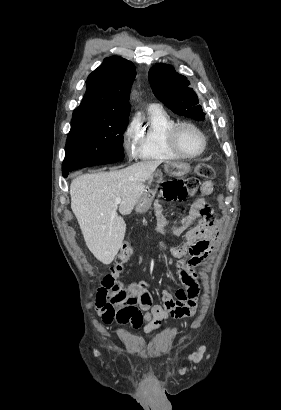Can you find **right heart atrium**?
Segmentation results:
<instances>
[{"mask_svg": "<svg viewBox=\"0 0 281 410\" xmlns=\"http://www.w3.org/2000/svg\"><path fill=\"white\" fill-rule=\"evenodd\" d=\"M139 120L137 117H132L122 132L123 149L129 156H136L137 141L139 137Z\"/></svg>", "mask_w": 281, "mask_h": 410, "instance_id": "obj_1", "label": "right heart atrium"}]
</instances>
